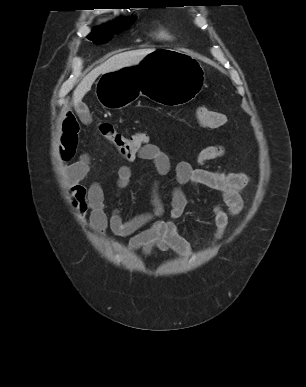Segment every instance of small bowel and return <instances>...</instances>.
I'll return each mask as SVG.
<instances>
[{
    "mask_svg": "<svg viewBox=\"0 0 306 387\" xmlns=\"http://www.w3.org/2000/svg\"><path fill=\"white\" fill-rule=\"evenodd\" d=\"M83 122L90 121L87 111L81 110ZM80 126L71 112L67 113L61 124L59 154L61 159L70 163L75 156L79 144ZM225 149L221 145L203 148L197 155L195 167L189 161H177L173 167L172 157L157 145L147 143L136 154L125 157L127 161L142 160L152 163L158 175H167L172 169L176 186L170 194V210L168 219L164 218L165 205L160 195V187L154 181L150 193L151 210L124 219L118 209L106 212L105 192L102 182L95 181L90 185L82 183L89 171V158L83 154L78 160L71 162L65 169L68 193L71 205L81 220H87L94 233L103 236L107 230L119 237H127L131 250L141 251L150 255L154 250L173 251L178 255H189L192 252L190 243L181 234L177 220L184 214L188 200L183 190L186 184H195L217 194L220 204H213L210 211L213 216L215 231L213 241H219L228 226L230 217L237 216L244 208L243 191L249 183L245 173L212 171L204 167L210 161L222 157ZM132 178V170L127 165L115 170V187L121 192L128 187ZM119 248L120 244H116Z\"/></svg>",
    "mask_w": 306,
    "mask_h": 387,
    "instance_id": "1",
    "label": "small bowel"
}]
</instances>
